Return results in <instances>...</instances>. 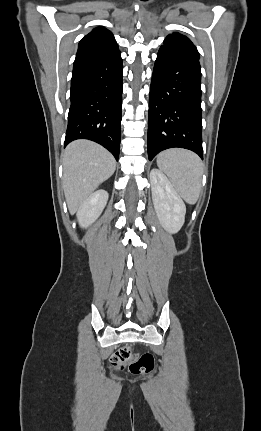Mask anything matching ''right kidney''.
I'll return each instance as SVG.
<instances>
[{
  "mask_svg": "<svg viewBox=\"0 0 261 431\" xmlns=\"http://www.w3.org/2000/svg\"><path fill=\"white\" fill-rule=\"evenodd\" d=\"M108 192L98 190L92 193L77 211V220L82 228H87L101 215L108 201Z\"/></svg>",
  "mask_w": 261,
  "mask_h": 431,
  "instance_id": "1",
  "label": "right kidney"
}]
</instances>
